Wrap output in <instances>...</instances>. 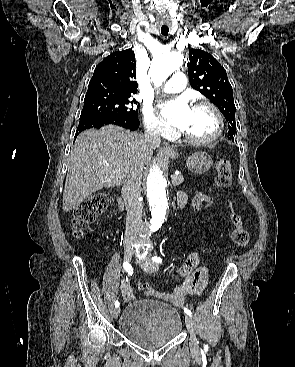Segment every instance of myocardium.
I'll list each match as a JSON object with an SVG mask.
<instances>
[{"label":"myocardium","instance_id":"1","mask_svg":"<svg viewBox=\"0 0 295 367\" xmlns=\"http://www.w3.org/2000/svg\"><path fill=\"white\" fill-rule=\"evenodd\" d=\"M200 107H206L208 109H210L212 111V113L214 114L216 121H217V129L214 132L213 135H211L208 138L205 139H196L193 138L191 136H189L188 134L184 133L183 131L181 132L182 137L189 143L193 144V145H197V146H205V145H209L214 143L215 141H217L223 131H224V120H223V116L220 112V110L211 102L209 101H205V100H201L196 102L193 105V108H200Z\"/></svg>","mask_w":295,"mask_h":367}]
</instances>
